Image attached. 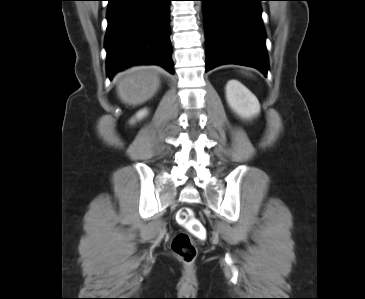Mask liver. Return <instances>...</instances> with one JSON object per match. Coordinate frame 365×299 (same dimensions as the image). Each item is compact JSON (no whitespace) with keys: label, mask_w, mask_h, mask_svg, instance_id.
Returning <instances> with one entry per match:
<instances>
[{"label":"liver","mask_w":365,"mask_h":299,"mask_svg":"<svg viewBox=\"0 0 365 299\" xmlns=\"http://www.w3.org/2000/svg\"><path fill=\"white\" fill-rule=\"evenodd\" d=\"M159 69L154 66L133 67L117 77V93L128 105L137 106L151 99L158 91Z\"/></svg>","instance_id":"6515ba94"}]
</instances>
